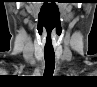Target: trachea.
<instances>
[{
	"mask_svg": "<svg viewBox=\"0 0 97 87\" xmlns=\"http://www.w3.org/2000/svg\"><path fill=\"white\" fill-rule=\"evenodd\" d=\"M45 71L44 77H51L54 73L55 68V53L54 51H45Z\"/></svg>",
	"mask_w": 97,
	"mask_h": 87,
	"instance_id": "3493384b",
	"label": "trachea"
}]
</instances>
